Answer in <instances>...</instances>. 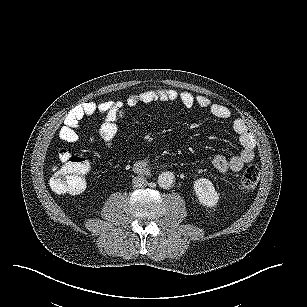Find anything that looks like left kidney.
Masks as SVG:
<instances>
[{
  "instance_id": "1",
  "label": "left kidney",
  "mask_w": 307,
  "mask_h": 307,
  "mask_svg": "<svg viewBox=\"0 0 307 307\" xmlns=\"http://www.w3.org/2000/svg\"><path fill=\"white\" fill-rule=\"evenodd\" d=\"M194 191L199 202L206 207H214L219 200V194L215 191L212 182L206 178L197 179L194 182Z\"/></svg>"
}]
</instances>
